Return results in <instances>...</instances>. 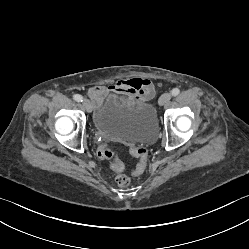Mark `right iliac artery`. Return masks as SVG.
<instances>
[{
  "mask_svg": "<svg viewBox=\"0 0 249 249\" xmlns=\"http://www.w3.org/2000/svg\"><path fill=\"white\" fill-rule=\"evenodd\" d=\"M74 100L77 101V102H82L83 101V97L79 94H75L73 96Z\"/></svg>",
  "mask_w": 249,
  "mask_h": 249,
  "instance_id": "82829eb1",
  "label": "right iliac artery"
}]
</instances>
